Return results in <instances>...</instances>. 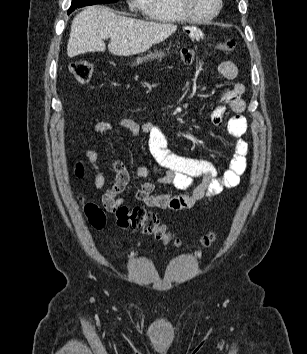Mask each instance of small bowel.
<instances>
[{
    "mask_svg": "<svg viewBox=\"0 0 307 354\" xmlns=\"http://www.w3.org/2000/svg\"><path fill=\"white\" fill-rule=\"evenodd\" d=\"M186 34L195 40L203 38L200 29L190 27L186 29ZM219 72L228 80L237 77V67L229 61L222 62L218 67ZM245 87L242 83L236 82L233 86L220 94L222 105L215 107L211 111V120L217 126L224 124L226 106H229L234 113L226 122L228 133L236 139L233 156L228 169L221 177H218L216 166L207 160L194 159L181 156L172 152L168 147L164 130L151 123H139L130 118L120 119V127L129 131L132 137L144 134L148 139V148L156 162L165 169V172L156 178V181L163 184H173L181 190L189 189L193 186L194 179L199 178L201 182L193 188L191 194L171 195L166 193H154V183L145 181L136 193L137 200L146 206L158 209L185 210L194 208L198 202L206 204L219 195L224 189L236 187L240 178L246 170L248 144L243 139L247 132V122L242 112L245 109V102L242 95ZM112 126L107 121H99L94 125L97 133H104L111 130ZM84 156L93 171V181L96 189H102L105 185V177L98 165V154L96 151L86 149ZM111 167L115 173V181L112 187L103 195L102 201L107 210L113 206L122 204L118 198L130 179V175L125 166L119 161H113ZM136 175L140 178H150L151 171L146 166H139Z\"/></svg>",
    "mask_w": 307,
    "mask_h": 354,
    "instance_id": "1",
    "label": "small bowel"
}]
</instances>
